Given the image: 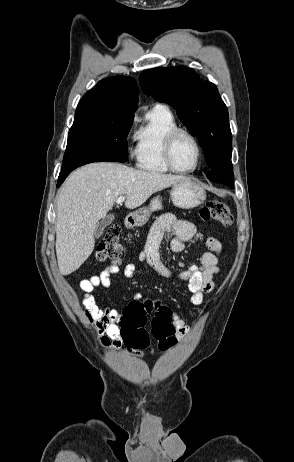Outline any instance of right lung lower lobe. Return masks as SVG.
<instances>
[{"instance_id": "98d812e1", "label": "right lung lower lobe", "mask_w": 294, "mask_h": 462, "mask_svg": "<svg viewBox=\"0 0 294 462\" xmlns=\"http://www.w3.org/2000/svg\"><path fill=\"white\" fill-rule=\"evenodd\" d=\"M73 170H74V169H69V170L60 172L59 178H58L57 187H59V186L64 182L65 178H66Z\"/></svg>"}]
</instances>
